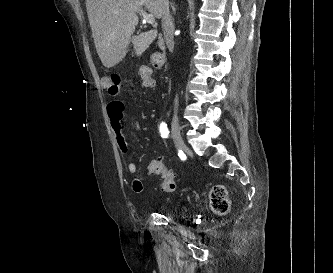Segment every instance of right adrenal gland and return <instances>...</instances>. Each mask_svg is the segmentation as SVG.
<instances>
[{
    "label": "right adrenal gland",
    "mask_w": 333,
    "mask_h": 273,
    "mask_svg": "<svg viewBox=\"0 0 333 273\" xmlns=\"http://www.w3.org/2000/svg\"><path fill=\"white\" fill-rule=\"evenodd\" d=\"M171 8H172L173 12L175 13L176 12V8H175V6H174L173 3H171Z\"/></svg>",
    "instance_id": "1"
}]
</instances>
